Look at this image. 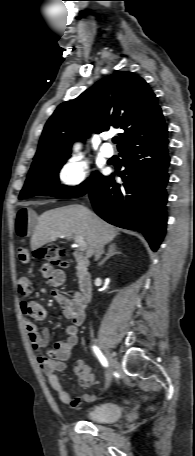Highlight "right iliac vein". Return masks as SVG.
Returning a JSON list of instances; mask_svg holds the SVG:
<instances>
[{
    "mask_svg": "<svg viewBox=\"0 0 195 456\" xmlns=\"http://www.w3.org/2000/svg\"><path fill=\"white\" fill-rule=\"evenodd\" d=\"M106 357H107V360H108V363H109V370H108V373H107V376H106L105 388H107L110 385L112 377H113V371H114V369L116 367V361L110 355V353L106 352Z\"/></svg>",
    "mask_w": 195,
    "mask_h": 456,
    "instance_id": "right-iliac-vein-1",
    "label": "right iliac vein"
}]
</instances>
